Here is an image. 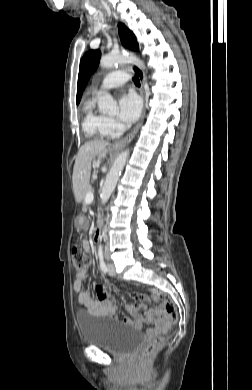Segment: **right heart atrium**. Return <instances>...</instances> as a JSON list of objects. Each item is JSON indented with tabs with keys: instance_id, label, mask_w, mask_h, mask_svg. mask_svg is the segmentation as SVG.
<instances>
[{
	"instance_id": "obj_1",
	"label": "right heart atrium",
	"mask_w": 252,
	"mask_h": 390,
	"mask_svg": "<svg viewBox=\"0 0 252 390\" xmlns=\"http://www.w3.org/2000/svg\"><path fill=\"white\" fill-rule=\"evenodd\" d=\"M104 127L110 136L117 134L121 130L120 123L112 117L105 118Z\"/></svg>"
}]
</instances>
